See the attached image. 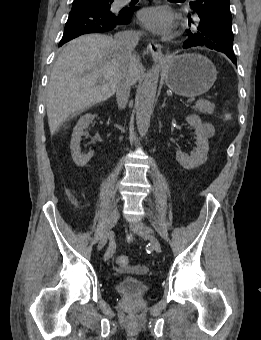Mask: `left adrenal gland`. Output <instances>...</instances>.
Listing matches in <instances>:
<instances>
[{"instance_id": "1", "label": "left adrenal gland", "mask_w": 261, "mask_h": 340, "mask_svg": "<svg viewBox=\"0 0 261 340\" xmlns=\"http://www.w3.org/2000/svg\"><path fill=\"white\" fill-rule=\"evenodd\" d=\"M166 100H167V98L164 99V102L162 103V106H161L162 108H164L166 106Z\"/></svg>"}]
</instances>
